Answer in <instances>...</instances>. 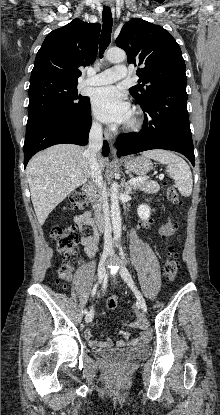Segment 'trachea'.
<instances>
[{"mask_svg":"<svg viewBox=\"0 0 220 415\" xmlns=\"http://www.w3.org/2000/svg\"><path fill=\"white\" fill-rule=\"evenodd\" d=\"M102 20H103V26H102V32L100 36V43H99V53L100 57H103V53L105 49L109 46L111 41V32H112V13L109 7L104 6L103 12H102Z\"/></svg>","mask_w":220,"mask_h":415,"instance_id":"obj_1","label":"trachea"}]
</instances>
